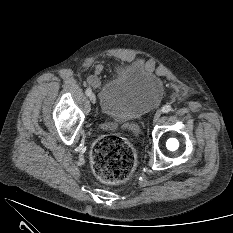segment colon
<instances>
[{"label":"colon","mask_w":233,"mask_h":233,"mask_svg":"<svg viewBox=\"0 0 233 233\" xmlns=\"http://www.w3.org/2000/svg\"><path fill=\"white\" fill-rule=\"evenodd\" d=\"M91 162L99 180L114 185L126 181L132 175L136 156L126 139L117 135H104L92 146Z\"/></svg>","instance_id":"1"}]
</instances>
